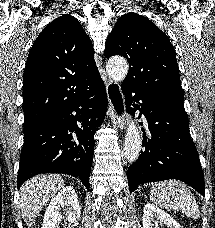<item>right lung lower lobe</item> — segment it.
I'll use <instances>...</instances> for the list:
<instances>
[{"label":"right lung lower lobe","instance_id":"1","mask_svg":"<svg viewBox=\"0 0 215 228\" xmlns=\"http://www.w3.org/2000/svg\"><path fill=\"white\" fill-rule=\"evenodd\" d=\"M106 110V90L98 74L78 88L61 108L24 125L18 189L37 174L63 173L79 178L89 191L94 133Z\"/></svg>","mask_w":215,"mask_h":228}]
</instances>
